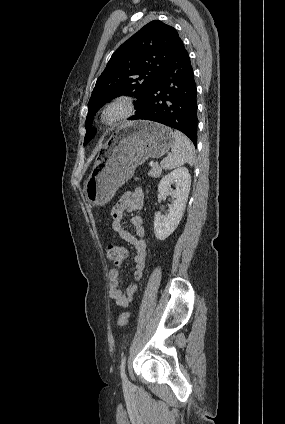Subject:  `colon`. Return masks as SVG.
Here are the masks:
<instances>
[{
	"label": "colon",
	"instance_id": "1",
	"mask_svg": "<svg viewBox=\"0 0 285 424\" xmlns=\"http://www.w3.org/2000/svg\"><path fill=\"white\" fill-rule=\"evenodd\" d=\"M105 256L108 261L119 264L124 258H125V250L123 247L116 246V245H108L105 250ZM129 320V313L124 312L120 314L118 318V324L121 327H124L127 325Z\"/></svg>",
	"mask_w": 285,
	"mask_h": 424
}]
</instances>
